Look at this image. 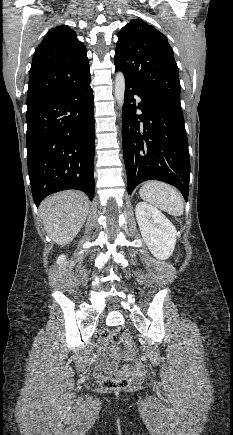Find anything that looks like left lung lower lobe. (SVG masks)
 <instances>
[{
	"label": "left lung lower lobe",
	"mask_w": 233,
	"mask_h": 435,
	"mask_svg": "<svg viewBox=\"0 0 233 435\" xmlns=\"http://www.w3.org/2000/svg\"><path fill=\"white\" fill-rule=\"evenodd\" d=\"M122 136L128 194L143 181L159 180L187 201L190 158L181 103L151 96L125 79Z\"/></svg>",
	"instance_id": "obj_1"
}]
</instances>
